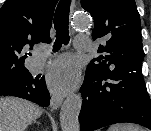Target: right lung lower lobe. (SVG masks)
<instances>
[{
    "label": "right lung lower lobe",
    "instance_id": "obj_1",
    "mask_svg": "<svg viewBox=\"0 0 151 131\" xmlns=\"http://www.w3.org/2000/svg\"><path fill=\"white\" fill-rule=\"evenodd\" d=\"M2 95L24 98L43 107H47L50 100L44 78H34L31 74L15 84L0 87V96Z\"/></svg>",
    "mask_w": 151,
    "mask_h": 131
}]
</instances>
